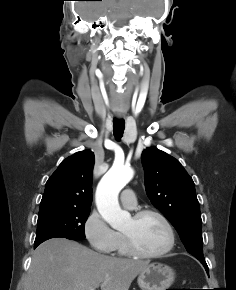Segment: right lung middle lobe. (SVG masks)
Masks as SVG:
<instances>
[{"instance_id": "right-lung-middle-lobe-1", "label": "right lung middle lobe", "mask_w": 236, "mask_h": 290, "mask_svg": "<svg viewBox=\"0 0 236 290\" xmlns=\"http://www.w3.org/2000/svg\"><path fill=\"white\" fill-rule=\"evenodd\" d=\"M90 209L49 207L40 209L37 221V235L34 245L62 237L70 240L85 238V222Z\"/></svg>"}]
</instances>
